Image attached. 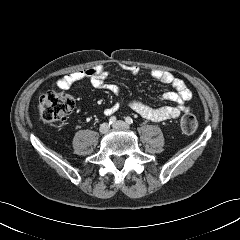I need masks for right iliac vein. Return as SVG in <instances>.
Returning a JSON list of instances; mask_svg holds the SVG:
<instances>
[{
  "label": "right iliac vein",
  "instance_id": "1",
  "mask_svg": "<svg viewBox=\"0 0 240 240\" xmlns=\"http://www.w3.org/2000/svg\"><path fill=\"white\" fill-rule=\"evenodd\" d=\"M109 129H110V125L108 123H103L101 124L99 131L102 134H106L109 131Z\"/></svg>",
  "mask_w": 240,
  "mask_h": 240
}]
</instances>
